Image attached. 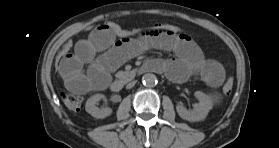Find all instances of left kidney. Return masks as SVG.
<instances>
[{
  "instance_id": "left-kidney-1",
  "label": "left kidney",
  "mask_w": 279,
  "mask_h": 148,
  "mask_svg": "<svg viewBox=\"0 0 279 148\" xmlns=\"http://www.w3.org/2000/svg\"><path fill=\"white\" fill-rule=\"evenodd\" d=\"M194 95L199 102L193 105L192 110H187L183 105H177L176 110L182 119L192 122L202 121L212 109V101L208 95L201 91H196Z\"/></svg>"
}]
</instances>
